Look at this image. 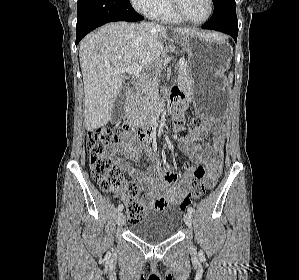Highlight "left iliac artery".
<instances>
[{
	"instance_id": "44dca946",
	"label": "left iliac artery",
	"mask_w": 299,
	"mask_h": 280,
	"mask_svg": "<svg viewBox=\"0 0 299 280\" xmlns=\"http://www.w3.org/2000/svg\"><path fill=\"white\" fill-rule=\"evenodd\" d=\"M188 212H189V213H193V212H194V209H193L192 207H189V208H188Z\"/></svg>"
}]
</instances>
